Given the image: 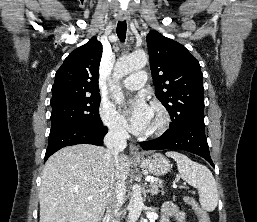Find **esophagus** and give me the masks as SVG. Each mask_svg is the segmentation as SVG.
Wrapping results in <instances>:
<instances>
[{"label":"esophagus","mask_w":257,"mask_h":222,"mask_svg":"<svg viewBox=\"0 0 257 222\" xmlns=\"http://www.w3.org/2000/svg\"><path fill=\"white\" fill-rule=\"evenodd\" d=\"M119 19L121 21H124V20H127L128 19V16L126 13H119ZM129 152H130V155L131 157L133 158H139L142 156L141 152L139 151V148L135 145V144H130L129 145Z\"/></svg>","instance_id":"34e87169"}]
</instances>
